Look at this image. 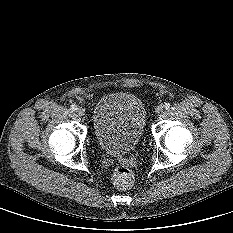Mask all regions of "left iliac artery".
<instances>
[{
    "label": "left iliac artery",
    "mask_w": 233,
    "mask_h": 233,
    "mask_svg": "<svg viewBox=\"0 0 233 233\" xmlns=\"http://www.w3.org/2000/svg\"><path fill=\"white\" fill-rule=\"evenodd\" d=\"M163 106H164L165 109H169L170 108V104L168 102L164 103Z\"/></svg>",
    "instance_id": "left-iliac-artery-1"
}]
</instances>
